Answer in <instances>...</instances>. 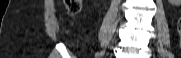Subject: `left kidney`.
Masks as SVG:
<instances>
[{"instance_id": "1", "label": "left kidney", "mask_w": 181, "mask_h": 58, "mask_svg": "<svg viewBox=\"0 0 181 58\" xmlns=\"http://www.w3.org/2000/svg\"><path fill=\"white\" fill-rule=\"evenodd\" d=\"M171 5L173 6H180L181 5V0H168Z\"/></svg>"}]
</instances>
